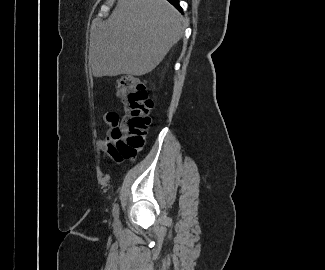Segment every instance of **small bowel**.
Wrapping results in <instances>:
<instances>
[{"mask_svg": "<svg viewBox=\"0 0 325 270\" xmlns=\"http://www.w3.org/2000/svg\"><path fill=\"white\" fill-rule=\"evenodd\" d=\"M118 119V114L115 112L106 113L103 116V120L105 124L108 126L107 137L105 139H98V145L100 149L110 156L115 162L121 163L125 160L115 149L112 138H111V131L113 128L114 120Z\"/></svg>", "mask_w": 325, "mask_h": 270, "instance_id": "1", "label": "small bowel"}]
</instances>
